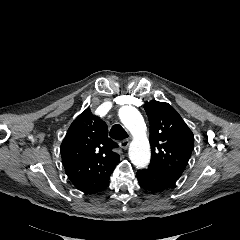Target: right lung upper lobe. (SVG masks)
<instances>
[{"label":"right lung upper lobe","mask_w":240,"mask_h":240,"mask_svg":"<svg viewBox=\"0 0 240 240\" xmlns=\"http://www.w3.org/2000/svg\"><path fill=\"white\" fill-rule=\"evenodd\" d=\"M116 147L106 123L90 109L83 111L69 127L60 147L62 163L73 185L85 194L106 187L119 162Z\"/></svg>","instance_id":"obj_1"}]
</instances>
